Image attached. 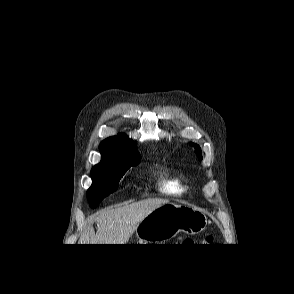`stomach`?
Instances as JSON below:
<instances>
[{"mask_svg":"<svg viewBox=\"0 0 294 294\" xmlns=\"http://www.w3.org/2000/svg\"><path fill=\"white\" fill-rule=\"evenodd\" d=\"M208 224L204 213L188 205L168 202L147 215L136 227L141 244H162L179 232L194 235Z\"/></svg>","mask_w":294,"mask_h":294,"instance_id":"stomach-1","label":"stomach"}]
</instances>
